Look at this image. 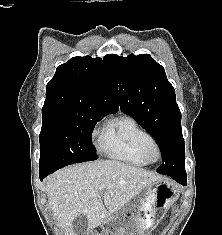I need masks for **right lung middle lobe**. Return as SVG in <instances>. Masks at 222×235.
<instances>
[{
    "label": "right lung middle lobe",
    "instance_id": "1",
    "mask_svg": "<svg viewBox=\"0 0 222 235\" xmlns=\"http://www.w3.org/2000/svg\"><path fill=\"white\" fill-rule=\"evenodd\" d=\"M104 116L76 110L42 114L40 172L56 171L70 164L98 159L91 134L96 123Z\"/></svg>",
    "mask_w": 222,
    "mask_h": 235
}]
</instances>
